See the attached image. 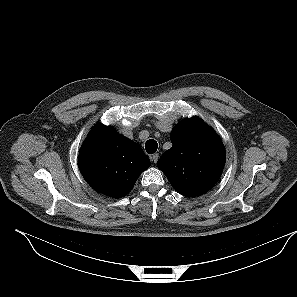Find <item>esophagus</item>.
Returning <instances> with one entry per match:
<instances>
[{
    "instance_id": "esophagus-1",
    "label": "esophagus",
    "mask_w": 297,
    "mask_h": 297,
    "mask_svg": "<svg viewBox=\"0 0 297 297\" xmlns=\"http://www.w3.org/2000/svg\"><path fill=\"white\" fill-rule=\"evenodd\" d=\"M158 158H159V155H158L157 153H156V154H153V155L151 156V161L154 162V163H156L157 160H158Z\"/></svg>"
}]
</instances>
